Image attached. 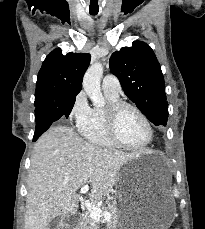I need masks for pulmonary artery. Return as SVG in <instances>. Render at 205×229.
Returning a JSON list of instances; mask_svg holds the SVG:
<instances>
[{"label":"pulmonary artery","instance_id":"e3ab8cb5","mask_svg":"<svg viewBox=\"0 0 205 229\" xmlns=\"http://www.w3.org/2000/svg\"><path fill=\"white\" fill-rule=\"evenodd\" d=\"M102 89L104 92H107L111 95L119 96L121 86L119 80L115 76L107 75L103 79Z\"/></svg>","mask_w":205,"mask_h":229}]
</instances>
